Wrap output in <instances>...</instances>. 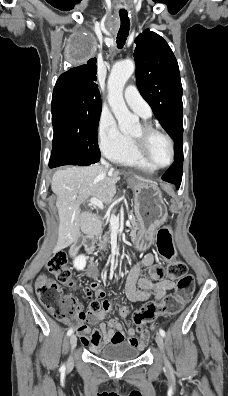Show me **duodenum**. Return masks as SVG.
<instances>
[{
	"mask_svg": "<svg viewBox=\"0 0 228 396\" xmlns=\"http://www.w3.org/2000/svg\"><path fill=\"white\" fill-rule=\"evenodd\" d=\"M84 246L88 251H93L96 248V240L93 236H86L84 239Z\"/></svg>",
	"mask_w": 228,
	"mask_h": 396,
	"instance_id": "obj_1",
	"label": "duodenum"
}]
</instances>
